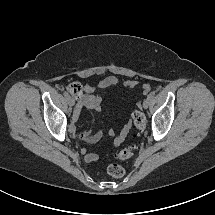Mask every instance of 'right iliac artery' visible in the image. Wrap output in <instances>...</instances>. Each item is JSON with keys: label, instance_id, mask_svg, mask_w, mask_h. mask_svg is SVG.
<instances>
[{"label": "right iliac artery", "instance_id": "82829eb1", "mask_svg": "<svg viewBox=\"0 0 215 215\" xmlns=\"http://www.w3.org/2000/svg\"><path fill=\"white\" fill-rule=\"evenodd\" d=\"M63 95H64L66 98H69L68 92L65 91V92L63 93Z\"/></svg>", "mask_w": 215, "mask_h": 215}]
</instances>
